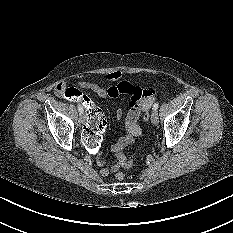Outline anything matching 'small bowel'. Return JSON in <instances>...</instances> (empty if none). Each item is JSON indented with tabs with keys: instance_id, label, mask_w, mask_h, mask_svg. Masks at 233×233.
Here are the masks:
<instances>
[{
	"instance_id": "small-bowel-1",
	"label": "small bowel",
	"mask_w": 233,
	"mask_h": 233,
	"mask_svg": "<svg viewBox=\"0 0 233 233\" xmlns=\"http://www.w3.org/2000/svg\"><path fill=\"white\" fill-rule=\"evenodd\" d=\"M121 77V72L114 71L105 75L103 80L107 82H115L119 81ZM79 86L83 89L93 91L100 98H117L121 95H125L130 98L129 108L124 119L125 134L114 141L111 145V150L114 154L122 152L133 142L135 137L141 135L142 131L139 125V117L142 112L149 110L150 106L152 105L154 101L153 89H143L127 81H120L116 85L111 86L82 81L79 83ZM68 87L69 86L66 82H61L56 86L55 93L58 96L64 97V90ZM117 117L118 119H122L124 117V112L122 110H118ZM87 126H89V124H87L86 127ZM96 164L100 169L101 175L103 176H108L111 173H115L119 168L118 164H114L110 167L107 166L102 157H97Z\"/></svg>"
}]
</instances>
